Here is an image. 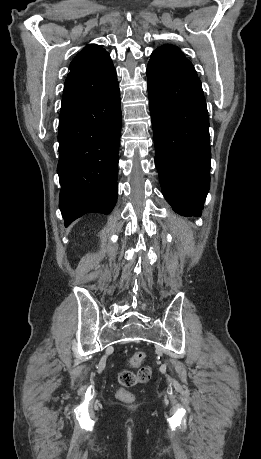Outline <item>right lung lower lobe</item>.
I'll return each instance as SVG.
<instances>
[{
  "label": "right lung lower lobe",
  "mask_w": 261,
  "mask_h": 459,
  "mask_svg": "<svg viewBox=\"0 0 261 459\" xmlns=\"http://www.w3.org/2000/svg\"><path fill=\"white\" fill-rule=\"evenodd\" d=\"M121 107L118 83L59 117V208L69 226L86 213L109 214L117 200Z\"/></svg>",
  "instance_id": "obj_1"
}]
</instances>
